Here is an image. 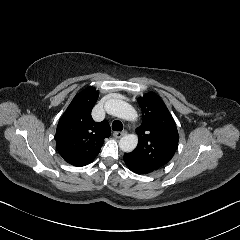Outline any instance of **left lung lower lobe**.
Here are the masks:
<instances>
[{
	"mask_svg": "<svg viewBox=\"0 0 240 240\" xmlns=\"http://www.w3.org/2000/svg\"><path fill=\"white\" fill-rule=\"evenodd\" d=\"M128 168H129L131 171H133V172H135V173H138V174H148V173H150V172H147V171H144V170H141V169H132V168H130L129 166H128Z\"/></svg>",
	"mask_w": 240,
	"mask_h": 240,
	"instance_id": "0a47b994",
	"label": "left lung lower lobe"
}]
</instances>
